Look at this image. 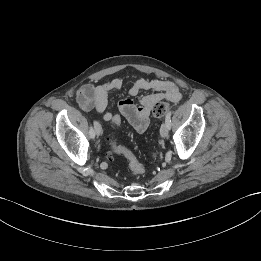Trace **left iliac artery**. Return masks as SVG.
<instances>
[{
    "label": "left iliac artery",
    "mask_w": 261,
    "mask_h": 261,
    "mask_svg": "<svg viewBox=\"0 0 261 261\" xmlns=\"http://www.w3.org/2000/svg\"><path fill=\"white\" fill-rule=\"evenodd\" d=\"M171 114H172V112L168 111L167 114H166V117H165V122L168 123L169 126H170V123H171Z\"/></svg>",
    "instance_id": "left-iliac-artery-1"
}]
</instances>
